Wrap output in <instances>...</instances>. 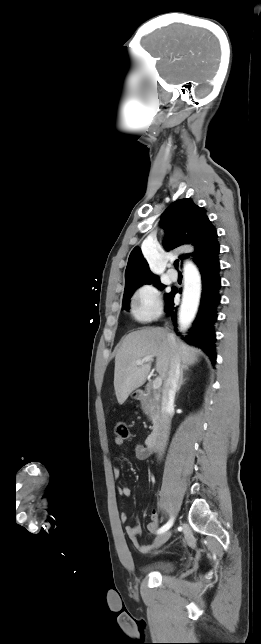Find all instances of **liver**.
I'll use <instances>...</instances> for the list:
<instances>
[{"label": "liver", "mask_w": 261, "mask_h": 644, "mask_svg": "<svg viewBox=\"0 0 261 644\" xmlns=\"http://www.w3.org/2000/svg\"><path fill=\"white\" fill-rule=\"evenodd\" d=\"M199 352L163 328H143L130 333L115 356L114 388L118 403L122 405L131 392L142 386L150 372V363L137 365V360L156 357V371L165 381L175 354L179 356L181 370H187L198 361Z\"/></svg>", "instance_id": "1"}]
</instances>
